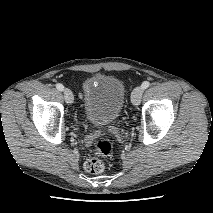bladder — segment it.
<instances>
[{
  "instance_id": "31cf9c89",
  "label": "bladder",
  "mask_w": 213,
  "mask_h": 213,
  "mask_svg": "<svg viewBox=\"0 0 213 213\" xmlns=\"http://www.w3.org/2000/svg\"><path fill=\"white\" fill-rule=\"evenodd\" d=\"M82 92L83 109L91 123L109 125L119 118L125 101V87L120 79L93 75L84 81Z\"/></svg>"
}]
</instances>
